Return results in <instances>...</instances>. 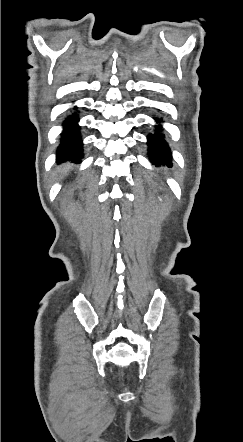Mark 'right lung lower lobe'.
<instances>
[{
  "instance_id": "right-lung-lower-lobe-1",
  "label": "right lung lower lobe",
  "mask_w": 243,
  "mask_h": 442,
  "mask_svg": "<svg viewBox=\"0 0 243 442\" xmlns=\"http://www.w3.org/2000/svg\"><path fill=\"white\" fill-rule=\"evenodd\" d=\"M77 108L74 107V110ZM79 117L77 112H72L63 121L62 125L64 128L61 134L60 145L57 149V161L62 162L63 160H73L79 162L83 157L82 153V140L79 132V126L77 122Z\"/></svg>"
}]
</instances>
